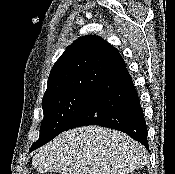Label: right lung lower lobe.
I'll list each match as a JSON object with an SVG mask.
<instances>
[{
  "instance_id": "obj_1",
  "label": "right lung lower lobe",
  "mask_w": 175,
  "mask_h": 174,
  "mask_svg": "<svg viewBox=\"0 0 175 174\" xmlns=\"http://www.w3.org/2000/svg\"><path fill=\"white\" fill-rule=\"evenodd\" d=\"M87 125L124 132L148 149L143 110L126 66L103 79L90 91L66 130Z\"/></svg>"
}]
</instances>
